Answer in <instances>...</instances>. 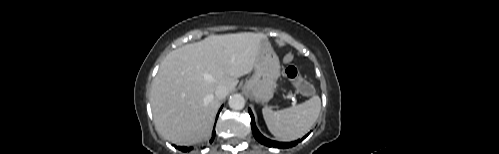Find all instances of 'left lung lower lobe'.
Masks as SVG:
<instances>
[{"instance_id": "left-lung-lower-lobe-1", "label": "left lung lower lobe", "mask_w": 499, "mask_h": 154, "mask_svg": "<svg viewBox=\"0 0 499 154\" xmlns=\"http://www.w3.org/2000/svg\"><path fill=\"white\" fill-rule=\"evenodd\" d=\"M249 114L251 116V127H252V132L254 134V137L256 138V140H258L261 144L263 145H266L268 147H278V148H288V147H292L296 144H298L301 140L305 139L308 134L306 136H304L301 140H297V141H294V142H290V143H286V142H276V141H272L270 139H267L266 137H264L257 129L256 125H255V121H254V116L251 112V110L249 109Z\"/></svg>"}]
</instances>
